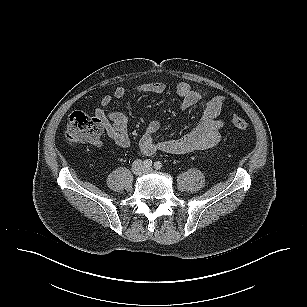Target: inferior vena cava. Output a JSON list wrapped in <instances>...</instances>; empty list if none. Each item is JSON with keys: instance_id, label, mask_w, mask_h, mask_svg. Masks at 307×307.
I'll list each match as a JSON object with an SVG mask.
<instances>
[{"instance_id": "1", "label": "inferior vena cava", "mask_w": 307, "mask_h": 307, "mask_svg": "<svg viewBox=\"0 0 307 307\" xmlns=\"http://www.w3.org/2000/svg\"><path fill=\"white\" fill-rule=\"evenodd\" d=\"M140 164H142V161H141V160H136V161H134V163H133V169L135 170V168H136L138 165H140Z\"/></svg>"}]
</instances>
